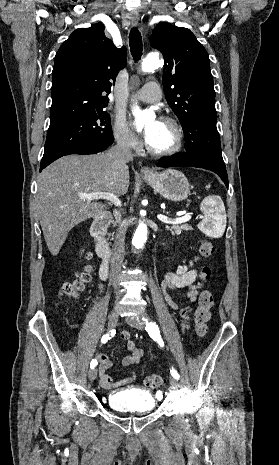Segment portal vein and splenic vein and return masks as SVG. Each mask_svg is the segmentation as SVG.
Segmentation results:
<instances>
[{"instance_id":"18ae733b","label":"portal vein and splenic vein","mask_w":279,"mask_h":465,"mask_svg":"<svg viewBox=\"0 0 279 465\" xmlns=\"http://www.w3.org/2000/svg\"><path fill=\"white\" fill-rule=\"evenodd\" d=\"M80 197L84 200L87 201H92V200H107L112 202L115 206L120 207L121 206V201L118 199L116 195L113 193H108V192H94V193H89V194H81ZM158 219L164 223H170V224H181L188 222L191 219V215L185 214L182 217L176 218V219H169L167 216L163 214H159Z\"/></svg>"}]
</instances>
